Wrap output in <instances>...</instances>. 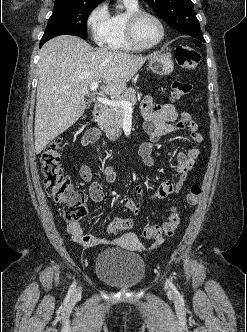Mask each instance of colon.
Masks as SVG:
<instances>
[{
    "mask_svg": "<svg viewBox=\"0 0 247 332\" xmlns=\"http://www.w3.org/2000/svg\"><path fill=\"white\" fill-rule=\"evenodd\" d=\"M199 44L195 46L181 45L175 50L177 63L187 69L195 70L200 61ZM192 91V84L184 81H174L171 85V98L179 100ZM63 142L60 138L47 144L40 156V169L47 194L58 204L62 205L64 219L68 223H75L87 214L85 193L76 188L73 180L65 174L61 166ZM201 195V188L193 184L186 195L189 204H196ZM180 213L172 208L168 218L161 224L145 228L143 235L146 239L160 240L164 236H172L180 224ZM132 221L127 218H116L109 223L107 231L116 234L131 228Z\"/></svg>",
    "mask_w": 247,
    "mask_h": 332,
    "instance_id": "obj_1",
    "label": "colon"
}]
</instances>
